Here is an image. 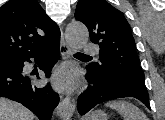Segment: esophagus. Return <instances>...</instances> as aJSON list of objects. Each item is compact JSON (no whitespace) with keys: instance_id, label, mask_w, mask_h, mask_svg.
Wrapping results in <instances>:
<instances>
[{"instance_id":"1","label":"esophagus","mask_w":165,"mask_h":120,"mask_svg":"<svg viewBox=\"0 0 165 120\" xmlns=\"http://www.w3.org/2000/svg\"><path fill=\"white\" fill-rule=\"evenodd\" d=\"M60 53L63 58L69 57L70 55V48L65 40L62 31H61V40H60ZM74 111H75L74 99L70 96H66L59 104L58 115L61 118H69L73 115Z\"/></svg>"}]
</instances>
